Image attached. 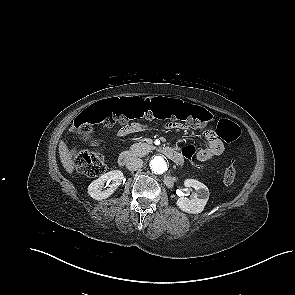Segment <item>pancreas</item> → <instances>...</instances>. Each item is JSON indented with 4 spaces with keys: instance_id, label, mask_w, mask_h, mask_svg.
Instances as JSON below:
<instances>
[{
    "instance_id": "obj_1",
    "label": "pancreas",
    "mask_w": 295,
    "mask_h": 295,
    "mask_svg": "<svg viewBox=\"0 0 295 295\" xmlns=\"http://www.w3.org/2000/svg\"><path fill=\"white\" fill-rule=\"evenodd\" d=\"M154 149L153 145L147 143H135L130 147V154L132 156L143 157Z\"/></svg>"
}]
</instances>
